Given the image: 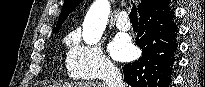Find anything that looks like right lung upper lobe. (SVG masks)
<instances>
[{"label":"right lung upper lobe","mask_w":205,"mask_h":87,"mask_svg":"<svg viewBox=\"0 0 205 87\" xmlns=\"http://www.w3.org/2000/svg\"><path fill=\"white\" fill-rule=\"evenodd\" d=\"M158 0H141V4L138 6V11L139 14L154 5ZM82 0H65L63 4L62 11L60 13L57 26L53 30V32H58L60 28L62 27L63 22L69 15V13L76 7L78 6Z\"/></svg>","instance_id":"right-lung-upper-lobe-1"}]
</instances>
